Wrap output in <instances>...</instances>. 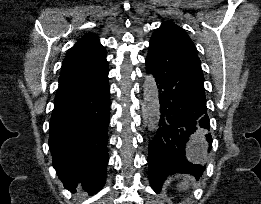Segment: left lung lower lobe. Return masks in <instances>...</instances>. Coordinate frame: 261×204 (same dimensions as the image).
I'll return each mask as SVG.
<instances>
[{"label":"left lung lower lobe","mask_w":261,"mask_h":204,"mask_svg":"<svg viewBox=\"0 0 261 204\" xmlns=\"http://www.w3.org/2000/svg\"><path fill=\"white\" fill-rule=\"evenodd\" d=\"M146 71L155 77L159 89V128L148 151L149 180L158 193L171 174L201 176L205 168L190 161L195 159L191 146L201 142L206 150L212 137L206 131L210 121L204 76L195 50L177 35L153 34Z\"/></svg>","instance_id":"obj_1"}]
</instances>
